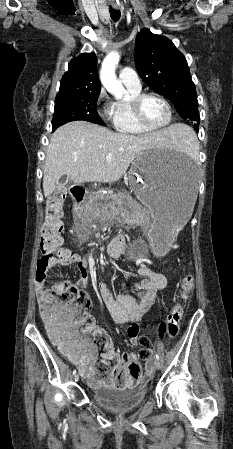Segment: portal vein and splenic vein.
Listing matches in <instances>:
<instances>
[{
  "mask_svg": "<svg viewBox=\"0 0 233 449\" xmlns=\"http://www.w3.org/2000/svg\"><path fill=\"white\" fill-rule=\"evenodd\" d=\"M111 158H112V154H108V155L106 156V160H107V161H110Z\"/></svg>",
  "mask_w": 233,
  "mask_h": 449,
  "instance_id": "18ae733b",
  "label": "portal vein and splenic vein"
}]
</instances>
